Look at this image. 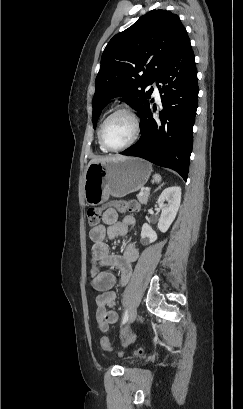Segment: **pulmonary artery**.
<instances>
[{
  "label": "pulmonary artery",
  "mask_w": 243,
  "mask_h": 409,
  "mask_svg": "<svg viewBox=\"0 0 243 409\" xmlns=\"http://www.w3.org/2000/svg\"><path fill=\"white\" fill-rule=\"evenodd\" d=\"M153 86H154V94H155L156 96H158V95H159V89H158V87L156 86V83H153Z\"/></svg>",
  "instance_id": "pulmonary-artery-1"
}]
</instances>
